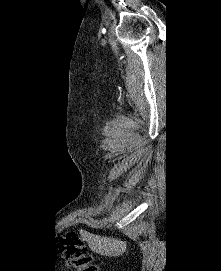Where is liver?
Segmentation results:
<instances>
[{"mask_svg":"<svg viewBox=\"0 0 221 271\" xmlns=\"http://www.w3.org/2000/svg\"><path fill=\"white\" fill-rule=\"evenodd\" d=\"M82 239L88 241V245L92 251L100 253V255H122L127 249L126 241H121L118 237H105V235H94L89 231H82Z\"/></svg>","mask_w":221,"mask_h":271,"instance_id":"6515ba94","label":"liver"}]
</instances>
